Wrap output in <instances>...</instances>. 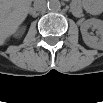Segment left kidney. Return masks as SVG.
<instances>
[{
	"instance_id": "left-kidney-1",
	"label": "left kidney",
	"mask_w": 103,
	"mask_h": 103,
	"mask_svg": "<svg viewBox=\"0 0 103 103\" xmlns=\"http://www.w3.org/2000/svg\"><path fill=\"white\" fill-rule=\"evenodd\" d=\"M89 27H93L95 29H97L98 34L100 35V37L97 36H91L87 30ZM81 34H82V38L84 43L91 47V48H95V49H102L103 48V21L100 19H96V18H91L86 20L81 28Z\"/></svg>"
}]
</instances>
